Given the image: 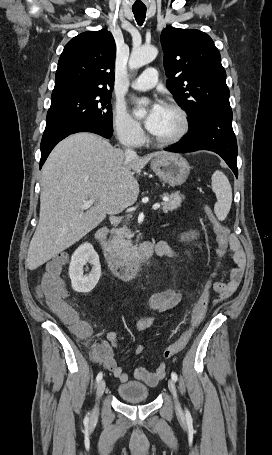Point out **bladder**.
Wrapping results in <instances>:
<instances>
[{
	"instance_id": "1",
	"label": "bladder",
	"mask_w": 272,
	"mask_h": 455,
	"mask_svg": "<svg viewBox=\"0 0 272 455\" xmlns=\"http://www.w3.org/2000/svg\"><path fill=\"white\" fill-rule=\"evenodd\" d=\"M118 396L129 403H142L149 399V389L142 383L128 381L117 387Z\"/></svg>"
}]
</instances>
